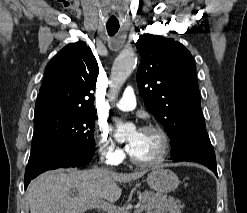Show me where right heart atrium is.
<instances>
[{"instance_id": "obj_1", "label": "right heart atrium", "mask_w": 247, "mask_h": 213, "mask_svg": "<svg viewBox=\"0 0 247 213\" xmlns=\"http://www.w3.org/2000/svg\"><path fill=\"white\" fill-rule=\"evenodd\" d=\"M95 143L100 157L110 165H118L124 159L122 149L113 140L106 125L99 124L95 130Z\"/></svg>"}]
</instances>
